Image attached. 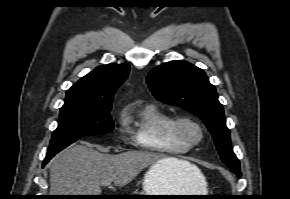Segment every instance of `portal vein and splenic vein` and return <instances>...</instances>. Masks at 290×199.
I'll list each match as a JSON object with an SVG mask.
<instances>
[{"instance_id": "portal-vein-and-splenic-vein-1", "label": "portal vein and splenic vein", "mask_w": 290, "mask_h": 199, "mask_svg": "<svg viewBox=\"0 0 290 199\" xmlns=\"http://www.w3.org/2000/svg\"><path fill=\"white\" fill-rule=\"evenodd\" d=\"M111 184V181H107L104 183V185H110Z\"/></svg>"}]
</instances>
